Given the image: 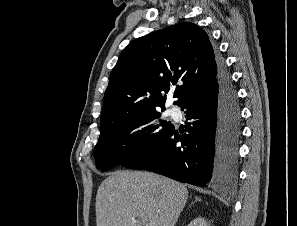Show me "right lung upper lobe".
I'll use <instances>...</instances> for the list:
<instances>
[{"instance_id": "obj_1", "label": "right lung upper lobe", "mask_w": 297, "mask_h": 226, "mask_svg": "<svg viewBox=\"0 0 297 226\" xmlns=\"http://www.w3.org/2000/svg\"><path fill=\"white\" fill-rule=\"evenodd\" d=\"M218 56L207 33L181 22L132 41L120 54L104 95L101 128L130 117L164 110L178 80L174 104L207 91L217 81Z\"/></svg>"}]
</instances>
